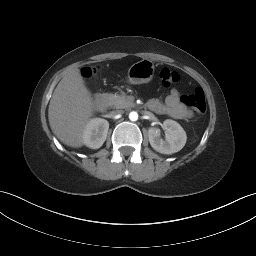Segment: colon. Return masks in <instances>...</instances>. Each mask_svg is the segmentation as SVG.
<instances>
[{"label": "colon", "instance_id": "obj_1", "mask_svg": "<svg viewBox=\"0 0 256 256\" xmlns=\"http://www.w3.org/2000/svg\"><path fill=\"white\" fill-rule=\"evenodd\" d=\"M84 76H90L93 73V69L84 68L82 71ZM180 80L179 74L169 68H162L159 73L160 84L168 88ZM181 102L196 112L202 114L206 111V100L205 95L201 88H196L193 93L185 94L181 97Z\"/></svg>", "mask_w": 256, "mask_h": 256}]
</instances>
